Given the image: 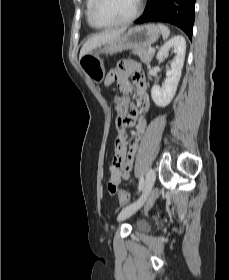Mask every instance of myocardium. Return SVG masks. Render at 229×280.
<instances>
[{"mask_svg":"<svg viewBox=\"0 0 229 280\" xmlns=\"http://www.w3.org/2000/svg\"><path fill=\"white\" fill-rule=\"evenodd\" d=\"M100 2H101V0H94L91 11H90V20H91L92 25L95 28H111V27L124 26V25H128V24L132 23L141 14V12L143 10L144 0H138L135 11L129 17H127L123 20L110 22V23H100L96 19V10H97Z\"/></svg>","mask_w":229,"mask_h":280,"instance_id":"1","label":"myocardium"}]
</instances>
